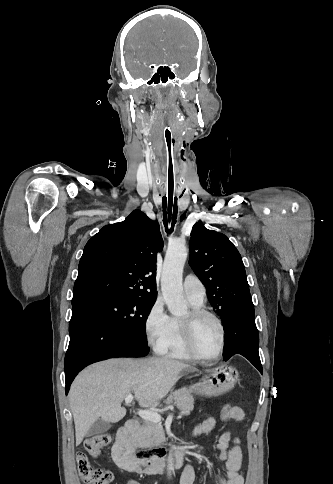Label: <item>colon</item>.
<instances>
[{
    "label": "colon",
    "instance_id": "5ec220e1",
    "mask_svg": "<svg viewBox=\"0 0 333 484\" xmlns=\"http://www.w3.org/2000/svg\"><path fill=\"white\" fill-rule=\"evenodd\" d=\"M234 406L225 405L220 410V418L228 419ZM112 441L109 434H99L85 441V452H79L76 456L79 475L84 483L87 484H111L113 474L106 469L94 465L90 459L97 457L100 450L108 446Z\"/></svg>",
    "mask_w": 333,
    "mask_h": 484
}]
</instances>
